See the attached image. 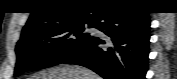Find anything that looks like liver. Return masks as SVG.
<instances>
[{"instance_id":"1","label":"liver","mask_w":177,"mask_h":79,"mask_svg":"<svg viewBox=\"0 0 177 79\" xmlns=\"http://www.w3.org/2000/svg\"><path fill=\"white\" fill-rule=\"evenodd\" d=\"M29 79H101V77L82 66L61 65L39 71Z\"/></svg>"}]
</instances>
